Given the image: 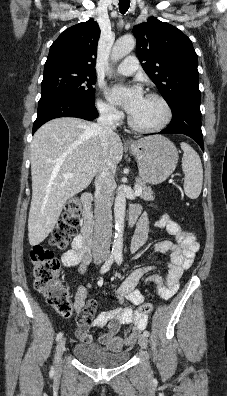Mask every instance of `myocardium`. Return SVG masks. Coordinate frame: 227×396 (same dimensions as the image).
<instances>
[{
    "instance_id": "f54148a6",
    "label": "myocardium",
    "mask_w": 227,
    "mask_h": 396,
    "mask_svg": "<svg viewBox=\"0 0 227 396\" xmlns=\"http://www.w3.org/2000/svg\"><path fill=\"white\" fill-rule=\"evenodd\" d=\"M146 97L155 99L156 101H158L160 103V105L162 106L163 110H164V117L162 119V121L154 126H141L139 124H137L134 119L132 118V116L130 115L128 117V123L129 126L134 129L135 131L138 132H142V133H155V132H159L161 130H163L164 128H166L169 123L172 120V108L170 106V104L168 103V101L161 95L158 93H148L146 95Z\"/></svg>"
}]
</instances>
